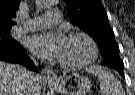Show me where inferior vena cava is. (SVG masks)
Segmentation results:
<instances>
[{
  "label": "inferior vena cava",
  "instance_id": "1",
  "mask_svg": "<svg viewBox=\"0 0 135 95\" xmlns=\"http://www.w3.org/2000/svg\"><path fill=\"white\" fill-rule=\"evenodd\" d=\"M35 64L37 65V62H35ZM35 79H36L35 73L29 72V71L26 73V80L29 85V89H28L27 93H25V95H32V93L30 91V87L33 85Z\"/></svg>",
  "mask_w": 135,
  "mask_h": 95
}]
</instances>
